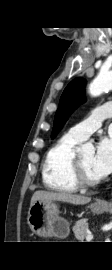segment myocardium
<instances>
[{"label":"myocardium","instance_id":"myocardium-1","mask_svg":"<svg viewBox=\"0 0 112 270\" xmlns=\"http://www.w3.org/2000/svg\"><path fill=\"white\" fill-rule=\"evenodd\" d=\"M70 173L75 184L80 188H91L101 183V179L90 180L85 176L79 160V155L76 153L70 163Z\"/></svg>","mask_w":112,"mask_h":270}]
</instances>
